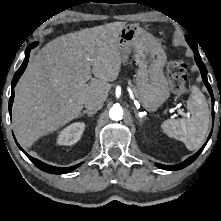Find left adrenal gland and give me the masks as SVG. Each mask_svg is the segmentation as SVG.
<instances>
[{"mask_svg":"<svg viewBox=\"0 0 221 221\" xmlns=\"http://www.w3.org/2000/svg\"><path fill=\"white\" fill-rule=\"evenodd\" d=\"M134 110H135V109H134ZM135 112H136V110H135ZM136 117H137V119L139 120L140 124H143V121H144L145 119H142V118H140V117L137 116V115H136Z\"/></svg>","mask_w":221,"mask_h":221,"instance_id":"left-adrenal-gland-1","label":"left adrenal gland"}]
</instances>
